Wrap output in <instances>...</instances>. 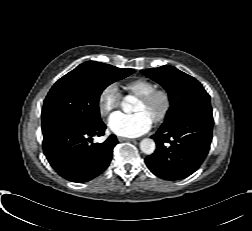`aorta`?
I'll return each instance as SVG.
<instances>
[{
  "label": "aorta",
  "instance_id": "1",
  "mask_svg": "<svg viewBox=\"0 0 252 231\" xmlns=\"http://www.w3.org/2000/svg\"><path fill=\"white\" fill-rule=\"evenodd\" d=\"M134 101L133 96H126L122 102V108L125 113L132 112V103ZM140 149L143 153L151 155L155 151V142L153 139L145 138L140 142Z\"/></svg>",
  "mask_w": 252,
  "mask_h": 231
}]
</instances>
